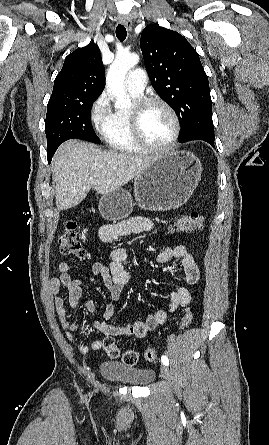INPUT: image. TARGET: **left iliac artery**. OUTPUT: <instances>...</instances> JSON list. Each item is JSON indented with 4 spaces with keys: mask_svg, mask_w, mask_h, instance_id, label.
<instances>
[{
    "mask_svg": "<svg viewBox=\"0 0 269 445\" xmlns=\"http://www.w3.org/2000/svg\"><path fill=\"white\" fill-rule=\"evenodd\" d=\"M161 361H162V363H163L164 365H166V366L169 365V359H168L167 356L163 355V356L161 357Z\"/></svg>",
    "mask_w": 269,
    "mask_h": 445,
    "instance_id": "left-iliac-artery-1",
    "label": "left iliac artery"
}]
</instances>
